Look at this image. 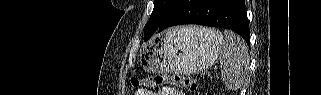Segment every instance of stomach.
I'll return each mask as SVG.
<instances>
[{
  "instance_id": "stomach-1",
  "label": "stomach",
  "mask_w": 321,
  "mask_h": 95,
  "mask_svg": "<svg viewBox=\"0 0 321 95\" xmlns=\"http://www.w3.org/2000/svg\"><path fill=\"white\" fill-rule=\"evenodd\" d=\"M224 39L214 30L182 27L157 36L141 55V64L152 73L195 74L218 58Z\"/></svg>"
}]
</instances>
